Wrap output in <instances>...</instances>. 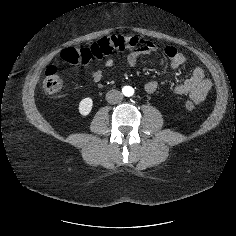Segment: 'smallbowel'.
Segmentation results:
<instances>
[{
	"instance_id": "obj_1",
	"label": "small bowel",
	"mask_w": 236,
	"mask_h": 236,
	"mask_svg": "<svg viewBox=\"0 0 236 236\" xmlns=\"http://www.w3.org/2000/svg\"><path fill=\"white\" fill-rule=\"evenodd\" d=\"M157 47L150 41H145L143 47L138 50L130 51L125 55V61L129 66H135L139 57L143 55H151L156 53ZM165 55L169 58V67L172 71L178 70L185 62V56L173 46H166L164 48ZM115 65L113 58H107L104 66L111 69ZM89 77L93 82H100L104 77V72L101 69H92ZM145 91L149 94L156 92L158 83L154 80L146 82ZM212 88L211 81L206 78L205 71L202 67L196 66L192 70L191 76L183 83L174 86V92L179 95H189L191 102L199 104L203 102Z\"/></svg>"
}]
</instances>
